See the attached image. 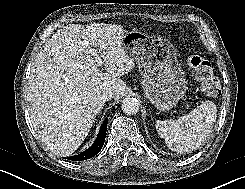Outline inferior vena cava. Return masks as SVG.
Wrapping results in <instances>:
<instances>
[{
  "label": "inferior vena cava",
  "mask_w": 245,
  "mask_h": 189,
  "mask_svg": "<svg viewBox=\"0 0 245 189\" xmlns=\"http://www.w3.org/2000/svg\"><path fill=\"white\" fill-rule=\"evenodd\" d=\"M112 98H114V92L111 89L105 90L101 95V99L103 102L109 101Z\"/></svg>",
  "instance_id": "602c4592"
}]
</instances>
